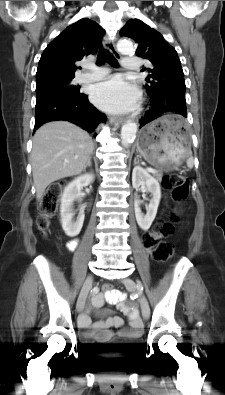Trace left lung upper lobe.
I'll return each instance as SVG.
<instances>
[{
    "label": "left lung upper lobe",
    "instance_id": "5c2ea615",
    "mask_svg": "<svg viewBox=\"0 0 225 395\" xmlns=\"http://www.w3.org/2000/svg\"><path fill=\"white\" fill-rule=\"evenodd\" d=\"M121 36L137 42L136 55L149 60L152 68H143L150 73L146 77L145 88L149 95H185L184 73L176 50L164 37L143 21L129 20L120 31Z\"/></svg>",
    "mask_w": 225,
    "mask_h": 395
}]
</instances>
